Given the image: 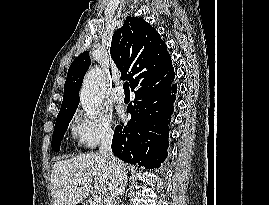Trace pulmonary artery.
I'll use <instances>...</instances> for the list:
<instances>
[{"label":"pulmonary artery","instance_id":"pulmonary-artery-1","mask_svg":"<svg viewBox=\"0 0 269 205\" xmlns=\"http://www.w3.org/2000/svg\"><path fill=\"white\" fill-rule=\"evenodd\" d=\"M113 100L117 103H122L125 99L122 85H118L113 93Z\"/></svg>","mask_w":269,"mask_h":205}]
</instances>
